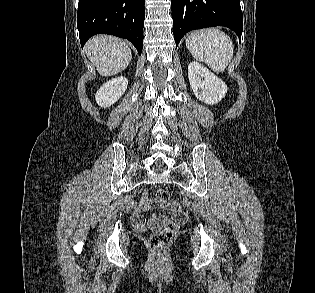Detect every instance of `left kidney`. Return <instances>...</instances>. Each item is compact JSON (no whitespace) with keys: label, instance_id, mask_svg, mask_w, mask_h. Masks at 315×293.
<instances>
[{"label":"left kidney","instance_id":"obj_1","mask_svg":"<svg viewBox=\"0 0 315 293\" xmlns=\"http://www.w3.org/2000/svg\"><path fill=\"white\" fill-rule=\"evenodd\" d=\"M188 78L194 95L208 105L217 104L227 93V85L198 62L188 65Z\"/></svg>","mask_w":315,"mask_h":293}]
</instances>
